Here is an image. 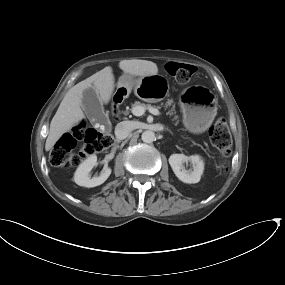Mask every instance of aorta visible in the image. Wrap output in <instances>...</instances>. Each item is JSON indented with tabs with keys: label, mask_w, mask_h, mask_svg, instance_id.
<instances>
[{
	"label": "aorta",
	"mask_w": 285,
	"mask_h": 285,
	"mask_svg": "<svg viewBox=\"0 0 285 285\" xmlns=\"http://www.w3.org/2000/svg\"><path fill=\"white\" fill-rule=\"evenodd\" d=\"M141 139L145 143H152L156 139V136H155V133L153 131L146 130L142 133Z\"/></svg>",
	"instance_id": "1"
}]
</instances>
